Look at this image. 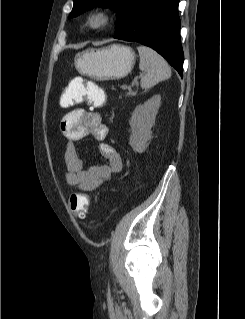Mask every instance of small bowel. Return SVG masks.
Wrapping results in <instances>:
<instances>
[{"instance_id": "small-bowel-1", "label": "small bowel", "mask_w": 245, "mask_h": 319, "mask_svg": "<svg viewBox=\"0 0 245 319\" xmlns=\"http://www.w3.org/2000/svg\"><path fill=\"white\" fill-rule=\"evenodd\" d=\"M82 83L83 79L80 77H75L69 82L61 96L62 106H71L75 102V95ZM60 128L66 139L64 161L67 167L66 180L70 189L94 191L122 170L120 156L111 145L104 142L108 128L95 109L87 107L70 110L61 120ZM87 136H92L100 142L99 152L105 159V164L84 168L74 142Z\"/></svg>"}]
</instances>
